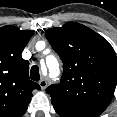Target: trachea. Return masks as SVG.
I'll return each instance as SVG.
<instances>
[{
  "mask_svg": "<svg viewBox=\"0 0 117 117\" xmlns=\"http://www.w3.org/2000/svg\"><path fill=\"white\" fill-rule=\"evenodd\" d=\"M30 75L32 80L39 81L40 73H39V67L37 65H33L31 67Z\"/></svg>",
  "mask_w": 117,
  "mask_h": 117,
  "instance_id": "1",
  "label": "trachea"
}]
</instances>
